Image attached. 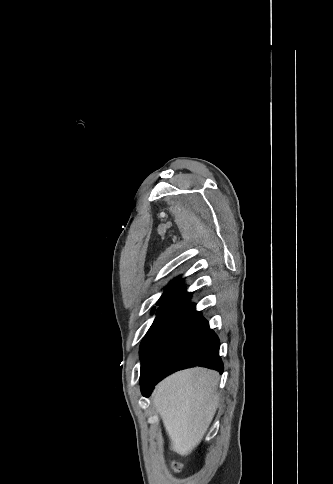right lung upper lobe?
<instances>
[{"label":"right lung upper lobe","mask_w":333,"mask_h":484,"mask_svg":"<svg viewBox=\"0 0 333 484\" xmlns=\"http://www.w3.org/2000/svg\"><path fill=\"white\" fill-rule=\"evenodd\" d=\"M180 283V278H176L174 281H172L169 287L164 291L161 298L158 300L157 304L164 302L168 298L178 293L182 288V285Z\"/></svg>","instance_id":"1"}]
</instances>
